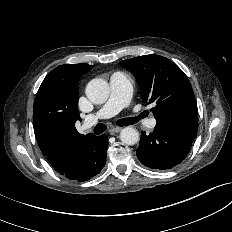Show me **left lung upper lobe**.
Masks as SVG:
<instances>
[{
	"label": "left lung upper lobe",
	"instance_id": "5c2ea615",
	"mask_svg": "<svg viewBox=\"0 0 232 232\" xmlns=\"http://www.w3.org/2000/svg\"><path fill=\"white\" fill-rule=\"evenodd\" d=\"M135 76L143 102L152 104L156 121L198 122L191 84L171 60L159 55H143L120 62Z\"/></svg>",
	"mask_w": 232,
	"mask_h": 232
}]
</instances>
